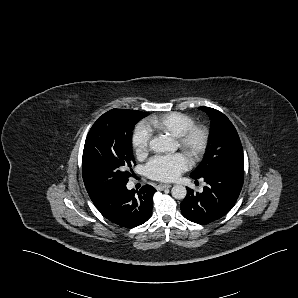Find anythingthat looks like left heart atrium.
I'll use <instances>...</instances> for the list:
<instances>
[{"label":"left heart atrium","instance_id":"left-heart-atrium-1","mask_svg":"<svg viewBox=\"0 0 298 298\" xmlns=\"http://www.w3.org/2000/svg\"><path fill=\"white\" fill-rule=\"evenodd\" d=\"M184 164L177 154L157 155L149 160L145 166V173L159 181L175 179L183 170Z\"/></svg>","mask_w":298,"mask_h":298}]
</instances>
